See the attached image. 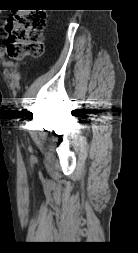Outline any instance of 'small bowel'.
Masks as SVG:
<instances>
[{"label":"small bowel","instance_id":"c3829d8e","mask_svg":"<svg viewBox=\"0 0 138 253\" xmlns=\"http://www.w3.org/2000/svg\"><path fill=\"white\" fill-rule=\"evenodd\" d=\"M5 56V52L2 48H0V58Z\"/></svg>","mask_w":138,"mask_h":253}]
</instances>
